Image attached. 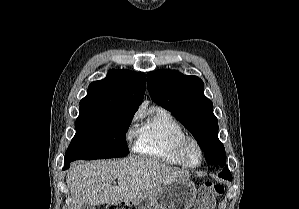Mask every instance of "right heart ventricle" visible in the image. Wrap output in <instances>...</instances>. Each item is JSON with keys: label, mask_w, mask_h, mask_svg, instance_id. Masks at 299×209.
I'll return each mask as SVG.
<instances>
[{"label": "right heart ventricle", "mask_w": 299, "mask_h": 209, "mask_svg": "<svg viewBox=\"0 0 299 209\" xmlns=\"http://www.w3.org/2000/svg\"><path fill=\"white\" fill-rule=\"evenodd\" d=\"M135 135V152L170 165L182 166L176 155V148L187 134L167 110L153 107L143 116Z\"/></svg>", "instance_id": "obj_1"}]
</instances>
